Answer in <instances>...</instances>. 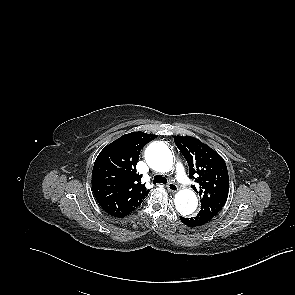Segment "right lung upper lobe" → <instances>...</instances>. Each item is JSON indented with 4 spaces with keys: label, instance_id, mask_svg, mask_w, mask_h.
<instances>
[{
    "label": "right lung upper lobe",
    "instance_id": "obj_1",
    "mask_svg": "<svg viewBox=\"0 0 295 295\" xmlns=\"http://www.w3.org/2000/svg\"><path fill=\"white\" fill-rule=\"evenodd\" d=\"M156 135L125 134L107 145L98 155L92 171V189L100 206L114 217L135 210L149 190L141 183L136 164L141 149Z\"/></svg>",
    "mask_w": 295,
    "mask_h": 295
}]
</instances>
